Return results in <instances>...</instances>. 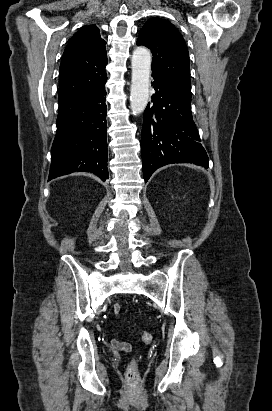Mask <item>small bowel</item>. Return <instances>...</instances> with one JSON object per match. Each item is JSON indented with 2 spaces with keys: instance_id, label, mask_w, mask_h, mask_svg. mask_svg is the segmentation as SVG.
Returning a JSON list of instances; mask_svg holds the SVG:
<instances>
[{
  "instance_id": "obj_1",
  "label": "small bowel",
  "mask_w": 272,
  "mask_h": 411,
  "mask_svg": "<svg viewBox=\"0 0 272 411\" xmlns=\"http://www.w3.org/2000/svg\"><path fill=\"white\" fill-rule=\"evenodd\" d=\"M113 312L114 314H118L120 312V306L118 304H115L113 306ZM110 346L113 350L115 351H126L129 352L132 350V347L130 345V343L128 342H124V341H120L118 339H113L110 342Z\"/></svg>"
}]
</instances>
